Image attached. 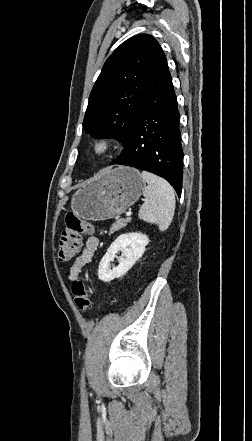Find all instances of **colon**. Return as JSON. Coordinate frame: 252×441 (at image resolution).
<instances>
[{
    "mask_svg": "<svg viewBox=\"0 0 252 441\" xmlns=\"http://www.w3.org/2000/svg\"><path fill=\"white\" fill-rule=\"evenodd\" d=\"M93 231L92 223L68 213L65 217V229L59 240L58 259L62 262L71 260L80 248L82 236L91 235ZM72 294L76 306L86 311L90 306V296L83 279L76 278L73 281Z\"/></svg>",
    "mask_w": 252,
    "mask_h": 441,
    "instance_id": "colon-1",
    "label": "colon"
}]
</instances>
